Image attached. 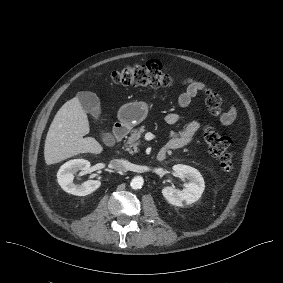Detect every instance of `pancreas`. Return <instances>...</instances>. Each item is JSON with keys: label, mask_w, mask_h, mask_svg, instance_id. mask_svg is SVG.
<instances>
[{"label": "pancreas", "mask_w": 283, "mask_h": 283, "mask_svg": "<svg viewBox=\"0 0 283 283\" xmlns=\"http://www.w3.org/2000/svg\"><path fill=\"white\" fill-rule=\"evenodd\" d=\"M144 131H145V129L143 127L139 128V129H133L131 131V135L128 138V141H127V145H128L127 150L130 153H134V152L138 151V142L137 141L139 140L141 135L144 133Z\"/></svg>", "instance_id": "cf45deb5"}]
</instances>
